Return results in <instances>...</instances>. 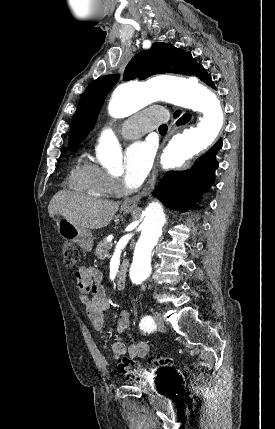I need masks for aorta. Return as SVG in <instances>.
<instances>
[{
    "mask_svg": "<svg viewBox=\"0 0 275 429\" xmlns=\"http://www.w3.org/2000/svg\"><path fill=\"white\" fill-rule=\"evenodd\" d=\"M157 100L189 108L203 115L197 126L188 127L172 137L161 156L164 169L181 166L206 149L223 126L225 111L218 94L195 78L159 77L146 83L122 84L113 92L108 114L115 119L124 118ZM97 156L111 172L121 169L120 146L109 127H105L101 133ZM165 222L161 204H149L130 267L132 282L141 283L151 274V253L162 235Z\"/></svg>",
    "mask_w": 275,
    "mask_h": 429,
    "instance_id": "762f6f07",
    "label": "aorta"
}]
</instances>
